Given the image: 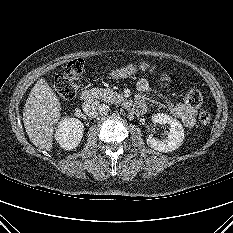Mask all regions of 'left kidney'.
<instances>
[{
    "mask_svg": "<svg viewBox=\"0 0 233 233\" xmlns=\"http://www.w3.org/2000/svg\"><path fill=\"white\" fill-rule=\"evenodd\" d=\"M151 120L153 124H169L170 126L169 131L166 133L167 139H156L152 134L148 136L147 144L151 148L167 153L176 150L182 144L185 138L184 129L177 119L164 113H157L152 115Z\"/></svg>",
    "mask_w": 233,
    "mask_h": 233,
    "instance_id": "1",
    "label": "left kidney"
}]
</instances>
